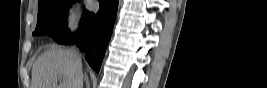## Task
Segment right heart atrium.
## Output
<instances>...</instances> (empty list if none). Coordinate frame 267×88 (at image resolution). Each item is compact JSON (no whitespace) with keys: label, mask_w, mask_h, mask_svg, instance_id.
<instances>
[{"label":"right heart atrium","mask_w":267,"mask_h":88,"mask_svg":"<svg viewBox=\"0 0 267 88\" xmlns=\"http://www.w3.org/2000/svg\"><path fill=\"white\" fill-rule=\"evenodd\" d=\"M65 22L70 30H75L78 26V16L76 12L70 11L67 17L65 18Z\"/></svg>","instance_id":"obj_1"}]
</instances>
